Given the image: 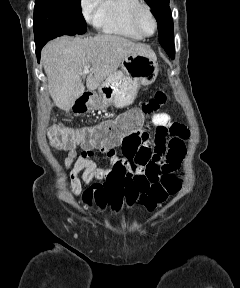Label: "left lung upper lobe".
I'll return each mask as SVG.
<instances>
[{"label":"left lung upper lobe","instance_id":"left-lung-upper-lobe-1","mask_svg":"<svg viewBox=\"0 0 240 288\" xmlns=\"http://www.w3.org/2000/svg\"><path fill=\"white\" fill-rule=\"evenodd\" d=\"M151 7L159 27V42L170 52H175L174 31L169 0H145Z\"/></svg>","mask_w":240,"mask_h":288}]
</instances>
